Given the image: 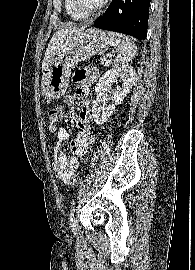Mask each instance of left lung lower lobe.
I'll return each instance as SVG.
<instances>
[{
    "instance_id": "left-lung-lower-lobe-1",
    "label": "left lung lower lobe",
    "mask_w": 195,
    "mask_h": 270,
    "mask_svg": "<svg viewBox=\"0 0 195 270\" xmlns=\"http://www.w3.org/2000/svg\"><path fill=\"white\" fill-rule=\"evenodd\" d=\"M150 1L112 0L105 13L95 20L94 26L145 39Z\"/></svg>"
}]
</instances>
